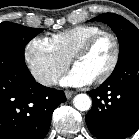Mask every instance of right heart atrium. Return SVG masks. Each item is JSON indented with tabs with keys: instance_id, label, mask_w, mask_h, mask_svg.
<instances>
[{
	"instance_id": "d8ad5b80",
	"label": "right heart atrium",
	"mask_w": 139,
	"mask_h": 139,
	"mask_svg": "<svg viewBox=\"0 0 139 139\" xmlns=\"http://www.w3.org/2000/svg\"><path fill=\"white\" fill-rule=\"evenodd\" d=\"M25 62L33 77L42 85H52L68 68L63 57L47 38H34L25 47Z\"/></svg>"
}]
</instances>
